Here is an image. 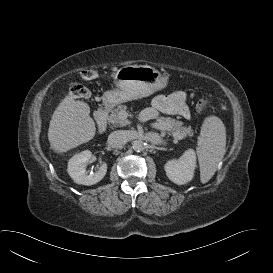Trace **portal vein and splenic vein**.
<instances>
[{
    "label": "portal vein and splenic vein",
    "instance_id": "1",
    "mask_svg": "<svg viewBox=\"0 0 273 273\" xmlns=\"http://www.w3.org/2000/svg\"><path fill=\"white\" fill-rule=\"evenodd\" d=\"M121 115H123V117H126L127 116V113L126 112H123V113H121ZM144 118L143 117H141V120H143Z\"/></svg>",
    "mask_w": 273,
    "mask_h": 273
}]
</instances>
